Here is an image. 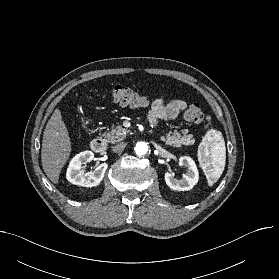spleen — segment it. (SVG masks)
<instances>
[{"label":"spleen","mask_w":279,"mask_h":279,"mask_svg":"<svg viewBox=\"0 0 279 279\" xmlns=\"http://www.w3.org/2000/svg\"><path fill=\"white\" fill-rule=\"evenodd\" d=\"M198 159L208 186H213L221 177L226 163L225 141L220 131L209 129L199 145Z\"/></svg>","instance_id":"1"}]
</instances>
